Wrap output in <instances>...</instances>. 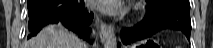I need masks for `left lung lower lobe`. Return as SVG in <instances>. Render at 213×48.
Returning a JSON list of instances; mask_svg holds the SVG:
<instances>
[{"label":"left lung lower lobe","mask_w":213,"mask_h":48,"mask_svg":"<svg viewBox=\"0 0 213 48\" xmlns=\"http://www.w3.org/2000/svg\"><path fill=\"white\" fill-rule=\"evenodd\" d=\"M166 28L182 31L190 41V9L174 3L147 4L144 19L135 27L122 30L121 43L127 45Z\"/></svg>","instance_id":"obj_1"}]
</instances>
